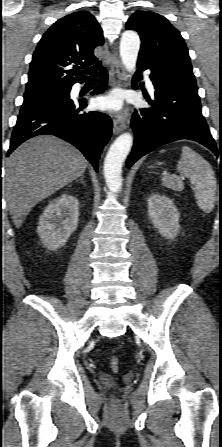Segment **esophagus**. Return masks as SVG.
<instances>
[{
    "instance_id": "1",
    "label": "esophagus",
    "mask_w": 222,
    "mask_h": 447,
    "mask_svg": "<svg viewBox=\"0 0 222 447\" xmlns=\"http://www.w3.org/2000/svg\"><path fill=\"white\" fill-rule=\"evenodd\" d=\"M110 74L113 84H120L125 79V73L121 61L113 52L110 62ZM127 119L121 114H115L113 118V133L119 134L126 128Z\"/></svg>"
}]
</instances>
